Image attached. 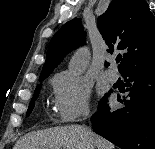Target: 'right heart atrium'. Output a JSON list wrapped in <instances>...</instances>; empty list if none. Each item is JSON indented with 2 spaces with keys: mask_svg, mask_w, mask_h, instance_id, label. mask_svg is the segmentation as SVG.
Masks as SVG:
<instances>
[{
  "mask_svg": "<svg viewBox=\"0 0 155 149\" xmlns=\"http://www.w3.org/2000/svg\"><path fill=\"white\" fill-rule=\"evenodd\" d=\"M54 110L63 123L74 122L89 114L90 87L71 72L57 73L52 79Z\"/></svg>",
  "mask_w": 155,
  "mask_h": 149,
  "instance_id": "d8ad5b80",
  "label": "right heart atrium"
}]
</instances>
